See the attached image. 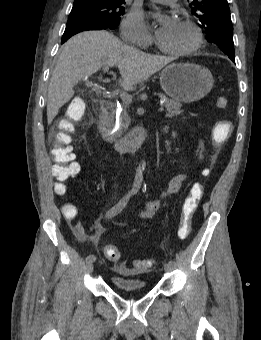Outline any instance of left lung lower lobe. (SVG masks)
<instances>
[{
    "label": "left lung lower lobe",
    "mask_w": 261,
    "mask_h": 340,
    "mask_svg": "<svg viewBox=\"0 0 261 340\" xmlns=\"http://www.w3.org/2000/svg\"><path fill=\"white\" fill-rule=\"evenodd\" d=\"M233 62H235V59H234V57H229Z\"/></svg>",
    "instance_id": "obj_1"
}]
</instances>
